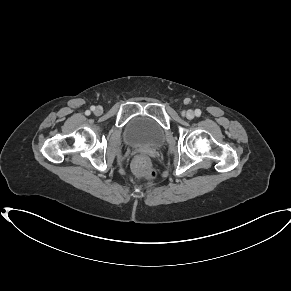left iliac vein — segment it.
Listing matches in <instances>:
<instances>
[{
	"instance_id": "obj_1",
	"label": "left iliac vein",
	"mask_w": 291,
	"mask_h": 291,
	"mask_svg": "<svg viewBox=\"0 0 291 291\" xmlns=\"http://www.w3.org/2000/svg\"><path fill=\"white\" fill-rule=\"evenodd\" d=\"M186 117L188 118V119H193L194 117H195V113H194V111H192V110H188L187 112H186Z\"/></svg>"
}]
</instances>
